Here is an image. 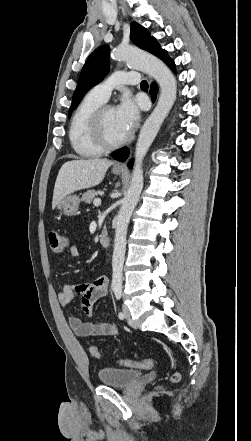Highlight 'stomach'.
I'll use <instances>...</instances> for the list:
<instances>
[{"label": "stomach", "instance_id": "0dacf381", "mask_svg": "<svg viewBox=\"0 0 251 441\" xmlns=\"http://www.w3.org/2000/svg\"><path fill=\"white\" fill-rule=\"evenodd\" d=\"M122 172V170L113 169L115 175H120ZM79 203L80 199L77 195H67L58 202L56 208L62 211L64 215L72 216L77 213Z\"/></svg>", "mask_w": 251, "mask_h": 441}]
</instances>
